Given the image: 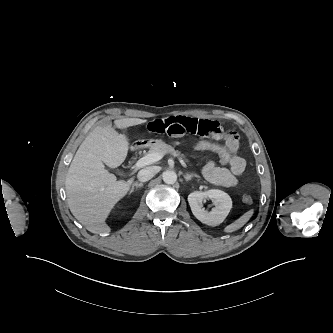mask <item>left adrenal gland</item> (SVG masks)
Returning a JSON list of instances; mask_svg holds the SVG:
<instances>
[{
	"label": "left adrenal gland",
	"instance_id": "1",
	"mask_svg": "<svg viewBox=\"0 0 333 333\" xmlns=\"http://www.w3.org/2000/svg\"><path fill=\"white\" fill-rule=\"evenodd\" d=\"M193 177L201 178V177H200L199 175H197V174H185V175H184V178H185L186 181L191 180V178H193Z\"/></svg>",
	"mask_w": 333,
	"mask_h": 333
}]
</instances>
